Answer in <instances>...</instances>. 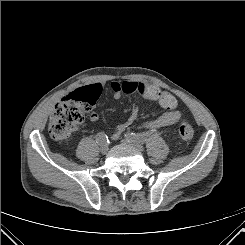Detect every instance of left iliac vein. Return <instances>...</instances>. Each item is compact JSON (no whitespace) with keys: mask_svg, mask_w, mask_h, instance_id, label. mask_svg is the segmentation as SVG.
I'll return each mask as SVG.
<instances>
[{"mask_svg":"<svg viewBox=\"0 0 245 245\" xmlns=\"http://www.w3.org/2000/svg\"><path fill=\"white\" fill-rule=\"evenodd\" d=\"M124 143H126V144H128V145H130V146H132L134 148H136L138 151H141L142 152L144 150L142 144H140V143L133 142V141L127 140V139L124 140Z\"/></svg>","mask_w":245,"mask_h":245,"instance_id":"obj_1","label":"left iliac vein"}]
</instances>
